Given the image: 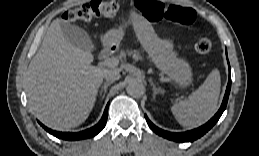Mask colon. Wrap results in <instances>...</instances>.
Instances as JSON below:
<instances>
[{
	"label": "colon",
	"instance_id": "colon-1",
	"mask_svg": "<svg viewBox=\"0 0 259 156\" xmlns=\"http://www.w3.org/2000/svg\"><path fill=\"white\" fill-rule=\"evenodd\" d=\"M138 9L150 21L168 20L182 27H191L196 21L195 12L179 5L166 6L153 0H138ZM120 11L119 4L114 0H93L65 12L64 19L68 22L87 21L94 18H112ZM195 50L200 55H206L211 50V41L202 36L195 44Z\"/></svg>",
	"mask_w": 259,
	"mask_h": 156
}]
</instances>
